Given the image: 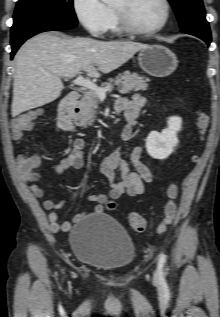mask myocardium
Segmentation results:
<instances>
[{
  "instance_id": "1",
  "label": "myocardium",
  "mask_w": 220,
  "mask_h": 317,
  "mask_svg": "<svg viewBox=\"0 0 220 317\" xmlns=\"http://www.w3.org/2000/svg\"><path fill=\"white\" fill-rule=\"evenodd\" d=\"M161 2L164 6V11H165L164 18L158 26H156L152 29H147V30H141V29L134 27L131 24V22H130V20H129V18L124 10L113 7L112 8L113 13H114V16H115V19H116V22H117L119 29L122 32H124L125 34L130 35V36H135V37L151 36V35L159 33L168 25L170 18H171V11H172L171 4H170L169 0H161Z\"/></svg>"
}]
</instances>
